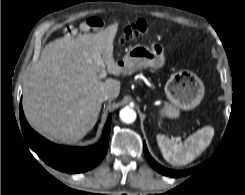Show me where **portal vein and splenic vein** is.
<instances>
[{
	"label": "portal vein and splenic vein",
	"mask_w": 245,
	"mask_h": 195,
	"mask_svg": "<svg viewBox=\"0 0 245 195\" xmlns=\"http://www.w3.org/2000/svg\"><path fill=\"white\" fill-rule=\"evenodd\" d=\"M107 76L106 70L103 68L101 73L99 74V79L105 78Z\"/></svg>",
	"instance_id": "18ae733b"
}]
</instances>
